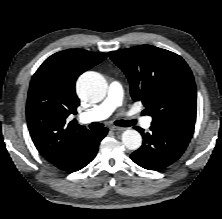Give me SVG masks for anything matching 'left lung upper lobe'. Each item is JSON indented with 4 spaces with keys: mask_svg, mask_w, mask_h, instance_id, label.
Masks as SVG:
<instances>
[{
    "mask_svg": "<svg viewBox=\"0 0 222 219\" xmlns=\"http://www.w3.org/2000/svg\"><path fill=\"white\" fill-rule=\"evenodd\" d=\"M130 82L131 96L141 101L152 126L191 139L196 120V86L186 62L177 54L151 45L109 52Z\"/></svg>",
    "mask_w": 222,
    "mask_h": 219,
    "instance_id": "1",
    "label": "left lung upper lobe"
}]
</instances>
